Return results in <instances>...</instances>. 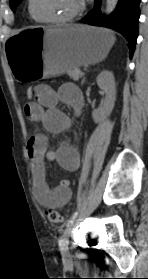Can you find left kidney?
Here are the masks:
<instances>
[{
    "instance_id": "obj_1",
    "label": "left kidney",
    "mask_w": 148,
    "mask_h": 279,
    "mask_svg": "<svg viewBox=\"0 0 148 279\" xmlns=\"http://www.w3.org/2000/svg\"><path fill=\"white\" fill-rule=\"evenodd\" d=\"M97 85L102 89L106 96L103 105L92 112V118L95 123H100L112 112L116 100V84L114 75L110 71H102L97 79Z\"/></svg>"
}]
</instances>
